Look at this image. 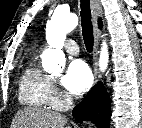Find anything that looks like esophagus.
Returning <instances> with one entry per match:
<instances>
[{
  "label": "esophagus",
  "mask_w": 142,
  "mask_h": 128,
  "mask_svg": "<svg viewBox=\"0 0 142 128\" xmlns=\"http://www.w3.org/2000/svg\"><path fill=\"white\" fill-rule=\"evenodd\" d=\"M91 13H92V22L94 29V46H93V72L95 83L100 81V74L98 69V49L99 41L101 37V32L98 28V18L102 15V7L99 0H90Z\"/></svg>",
  "instance_id": "obj_1"
}]
</instances>
